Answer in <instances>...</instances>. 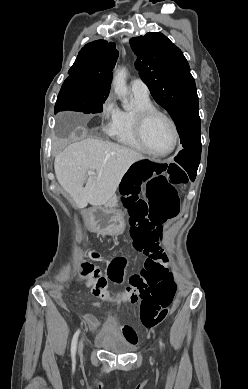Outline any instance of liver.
Instances as JSON below:
<instances>
[{
    "label": "liver",
    "mask_w": 248,
    "mask_h": 389,
    "mask_svg": "<svg viewBox=\"0 0 248 389\" xmlns=\"http://www.w3.org/2000/svg\"><path fill=\"white\" fill-rule=\"evenodd\" d=\"M143 159L141 153L125 146L85 139L60 152L55 157L54 169L59 184L69 193L76 207L85 208L88 204L108 203L129 167ZM90 170L94 174L88 177Z\"/></svg>",
    "instance_id": "liver-1"
}]
</instances>
